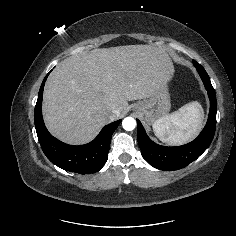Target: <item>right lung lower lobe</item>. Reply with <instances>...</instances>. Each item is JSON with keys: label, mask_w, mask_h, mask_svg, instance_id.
<instances>
[{"label": "right lung lower lobe", "mask_w": 236, "mask_h": 236, "mask_svg": "<svg viewBox=\"0 0 236 236\" xmlns=\"http://www.w3.org/2000/svg\"><path fill=\"white\" fill-rule=\"evenodd\" d=\"M44 78L35 106V127L38 140L46 157L56 166L79 174H90L99 171L106 163L111 137L121 120L106 125L99 135L90 143L73 146L54 138L47 130L42 118V96Z\"/></svg>", "instance_id": "right-lung-lower-lobe-1"}]
</instances>
